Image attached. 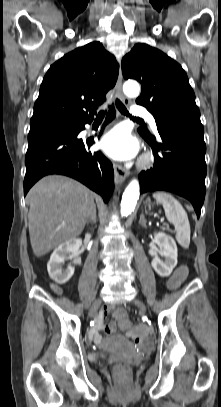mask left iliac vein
<instances>
[{"instance_id":"1","label":"left iliac vein","mask_w":221,"mask_h":407,"mask_svg":"<svg viewBox=\"0 0 221 407\" xmlns=\"http://www.w3.org/2000/svg\"><path fill=\"white\" fill-rule=\"evenodd\" d=\"M133 302H134V304H135L136 306H138L142 311H145V310H146V307H145L144 303H143L142 301H140L139 299H135Z\"/></svg>"}]
</instances>
